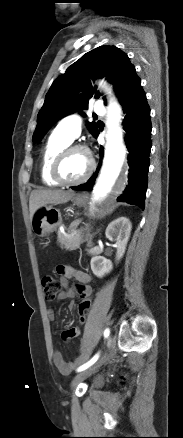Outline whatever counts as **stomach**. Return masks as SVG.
Masks as SVG:
<instances>
[{
	"label": "stomach",
	"instance_id": "1",
	"mask_svg": "<svg viewBox=\"0 0 183 438\" xmlns=\"http://www.w3.org/2000/svg\"><path fill=\"white\" fill-rule=\"evenodd\" d=\"M86 196L74 195L72 201L75 205L82 206L86 203ZM62 223V216L59 209L50 205L39 207L31 219L32 230L36 236L48 239Z\"/></svg>",
	"mask_w": 183,
	"mask_h": 438
}]
</instances>
